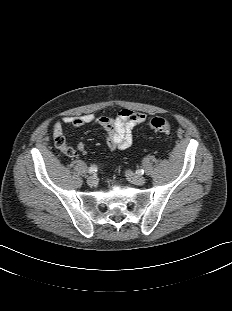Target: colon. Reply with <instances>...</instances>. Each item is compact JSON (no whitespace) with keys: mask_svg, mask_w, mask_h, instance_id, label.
Wrapping results in <instances>:
<instances>
[{"mask_svg":"<svg viewBox=\"0 0 232 311\" xmlns=\"http://www.w3.org/2000/svg\"><path fill=\"white\" fill-rule=\"evenodd\" d=\"M149 126L152 130L170 136L172 134V127L170 123L163 117H154L150 119ZM59 146L64 147L66 155H73V149L65 144L64 138L57 139Z\"/></svg>","mask_w":232,"mask_h":311,"instance_id":"colon-1","label":"colon"}]
</instances>
